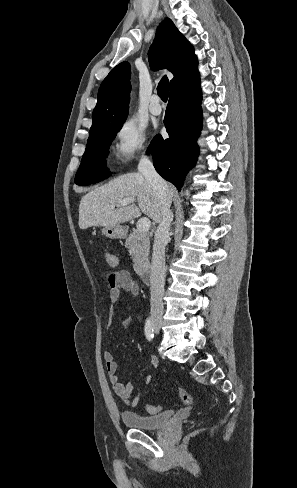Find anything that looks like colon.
I'll use <instances>...</instances> for the list:
<instances>
[{
    "instance_id": "colon-1",
    "label": "colon",
    "mask_w": 297,
    "mask_h": 488,
    "mask_svg": "<svg viewBox=\"0 0 297 488\" xmlns=\"http://www.w3.org/2000/svg\"><path fill=\"white\" fill-rule=\"evenodd\" d=\"M105 281L108 285V287H113L114 285V274L111 272H106L104 274ZM179 396L183 404L185 405H190L192 403V396L189 392H187L185 389L179 387L178 388ZM161 407L160 406H154V405H146V411L150 414H156L160 411Z\"/></svg>"
}]
</instances>
